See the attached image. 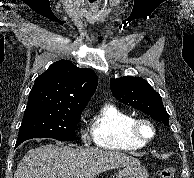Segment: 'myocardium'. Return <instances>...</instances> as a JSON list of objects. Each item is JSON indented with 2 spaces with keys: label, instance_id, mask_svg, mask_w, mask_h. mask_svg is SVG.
Instances as JSON below:
<instances>
[{
  "label": "myocardium",
  "instance_id": "f54148a6",
  "mask_svg": "<svg viewBox=\"0 0 194 178\" xmlns=\"http://www.w3.org/2000/svg\"><path fill=\"white\" fill-rule=\"evenodd\" d=\"M144 129H148L149 136L144 134ZM129 135L141 142L142 144H148L156 137V128L153 122L147 118H134L128 128Z\"/></svg>",
  "mask_w": 194,
  "mask_h": 178
}]
</instances>
